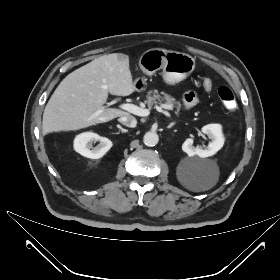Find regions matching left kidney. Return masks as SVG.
Segmentation results:
<instances>
[{"instance_id":"obj_1","label":"left kidney","mask_w":280,"mask_h":280,"mask_svg":"<svg viewBox=\"0 0 280 280\" xmlns=\"http://www.w3.org/2000/svg\"><path fill=\"white\" fill-rule=\"evenodd\" d=\"M201 131L206 134L212 141L204 149L195 147L193 145V139L188 138L182 144V150L188 154V156H198L205 158L216 154L224 145V137L222 134V127L220 124H208L202 127Z\"/></svg>"}]
</instances>
